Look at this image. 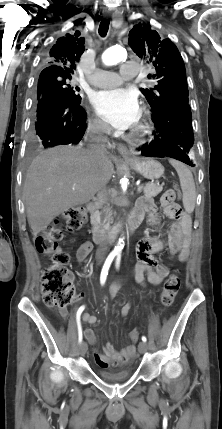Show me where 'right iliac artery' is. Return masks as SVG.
Returning <instances> with one entry per match:
<instances>
[{
	"mask_svg": "<svg viewBox=\"0 0 222 429\" xmlns=\"http://www.w3.org/2000/svg\"><path fill=\"white\" fill-rule=\"evenodd\" d=\"M114 257H115V254H110L107 257V259H106V261H105V263L103 265V268H102V271H101V274H100V283H101V285H103L105 283V281H106V278H107V275H108V270L110 268V265H111ZM84 309H85V306H81L78 309L77 314H76L77 327H78V341H79V343H81L82 339H83V336H82V327H81V323H80V316H81V313L83 312Z\"/></svg>",
	"mask_w": 222,
	"mask_h": 429,
	"instance_id": "obj_1",
	"label": "right iliac artery"
}]
</instances>
